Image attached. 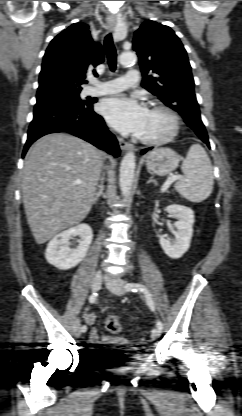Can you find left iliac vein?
Instances as JSON below:
<instances>
[{
  "label": "left iliac vein",
  "mask_w": 242,
  "mask_h": 416,
  "mask_svg": "<svg viewBox=\"0 0 242 416\" xmlns=\"http://www.w3.org/2000/svg\"><path fill=\"white\" fill-rule=\"evenodd\" d=\"M105 283L108 289L113 292L116 295H123L124 290L123 286L125 285V282L120 278H114V277H106ZM161 334V331L158 328H153L151 331V337L153 339H157Z\"/></svg>",
  "instance_id": "1"
}]
</instances>
